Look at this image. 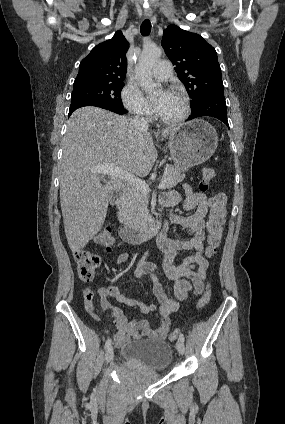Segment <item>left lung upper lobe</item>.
Returning <instances> with one entry per match:
<instances>
[{
	"label": "left lung upper lobe",
	"instance_id": "1",
	"mask_svg": "<svg viewBox=\"0 0 285 424\" xmlns=\"http://www.w3.org/2000/svg\"><path fill=\"white\" fill-rule=\"evenodd\" d=\"M161 44L192 98L191 106L205 95L224 91L217 53L200 35L169 25Z\"/></svg>",
	"mask_w": 285,
	"mask_h": 424
}]
</instances>
